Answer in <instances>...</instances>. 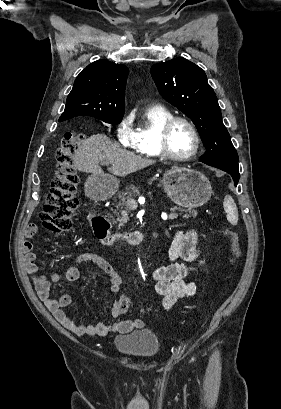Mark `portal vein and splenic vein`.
I'll return each mask as SVG.
<instances>
[{"instance_id": "1", "label": "portal vein and splenic vein", "mask_w": 281, "mask_h": 409, "mask_svg": "<svg viewBox=\"0 0 281 409\" xmlns=\"http://www.w3.org/2000/svg\"><path fill=\"white\" fill-rule=\"evenodd\" d=\"M102 164H110V162H102ZM128 205H129L130 207H132V208L137 205V202H136V200H135L134 197H131V198H130V201L128 202ZM177 217H178L177 213H176V212H172L171 215H170V217H169V219H177ZM166 219H167V218H166Z\"/></svg>"}]
</instances>
